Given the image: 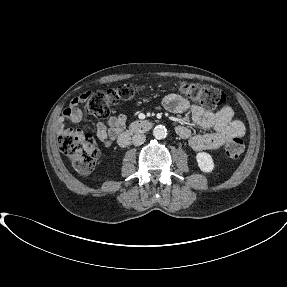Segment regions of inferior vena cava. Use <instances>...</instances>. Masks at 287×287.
<instances>
[{
    "mask_svg": "<svg viewBox=\"0 0 287 287\" xmlns=\"http://www.w3.org/2000/svg\"><path fill=\"white\" fill-rule=\"evenodd\" d=\"M146 140V136L144 134H135L132 137V143L135 146L142 145Z\"/></svg>",
    "mask_w": 287,
    "mask_h": 287,
    "instance_id": "obj_1",
    "label": "inferior vena cava"
}]
</instances>
